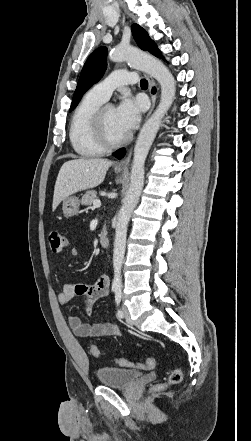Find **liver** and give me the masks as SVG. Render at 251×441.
Returning a JSON list of instances; mask_svg holds the SVG:
<instances>
[{
  "instance_id": "obj_1",
  "label": "liver",
  "mask_w": 251,
  "mask_h": 441,
  "mask_svg": "<svg viewBox=\"0 0 251 441\" xmlns=\"http://www.w3.org/2000/svg\"><path fill=\"white\" fill-rule=\"evenodd\" d=\"M112 163L107 159L99 158H81L65 162L60 168L55 183L53 210L66 197L100 185Z\"/></svg>"
}]
</instances>
